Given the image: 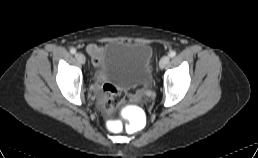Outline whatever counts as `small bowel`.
Returning <instances> with one entry per match:
<instances>
[{
  "instance_id": "1",
  "label": "small bowel",
  "mask_w": 258,
  "mask_h": 158,
  "mask_svg": "<svg viewBox=\"0 0 258 158\" xmlns=\"http://www.w3.org/2000/svg\"><path fill=\"white\" fill-rule=\"evenodd\" d=\"M86 51L89 55L93 57L95 61L99 60L102 54V49L96 44H89L86 47ZM96 87L97 88L101 87L103 89V95H102L103 100H105L106 98L110 100L115 94H118L117 89L110 83H105L101 86V82L99 78H97Z\"/></svg>"
}]
</instances>
